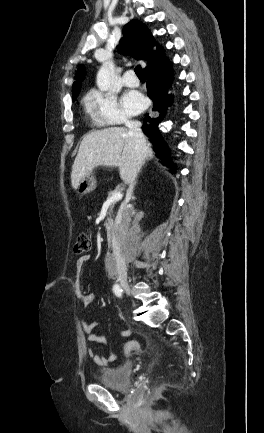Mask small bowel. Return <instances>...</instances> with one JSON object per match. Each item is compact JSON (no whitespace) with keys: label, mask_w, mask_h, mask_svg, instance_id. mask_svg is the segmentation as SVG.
I'll return each mask as SVG.
<instances>
[{"label":"small bowel","mask_w":264,"mask_h":433,"mask_svg":"<svg viewBox=\"0 0 264 433\" xmlns=\"http://www.w3.org/2000/svg\"><path fill=\"white\" fill-rule=\"evenodd\" d=\"M89 260H90L89 255H83L80 256L76 261V273H77L76 295L79 298L80 305L82 308H85L88 305H90L95 299L93 293H87L81 290L80 282H79V276L83 270V267ZM97 326L98 324L96 322L82 321V328L84 332L88 335V340L95 344H104L106 342L105 337L95 332ZM121 334L127 336L130 334V332L128 330H123ZM88 355L94 361V363L100 366H107L108 364L112 363L116 359V356L114 354H110L107 357H101L92 348L88 349Z\"/></svg>","instance_id":"obj_1"}]
</instances>
